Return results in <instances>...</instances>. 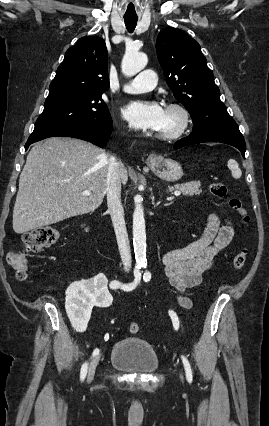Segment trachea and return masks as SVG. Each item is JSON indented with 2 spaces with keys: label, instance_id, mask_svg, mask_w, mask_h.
I'll list each match as a JSON object with an SVG mask.
<instances>
[{
  "label": "trachea",
  "instance_id": "obj_1",
  "mask_svg": "<svg viewBox=\"0 0 269 426\" xmlns=\"http://www.w3.org/2000/svg\"><path fill=\"white\" fill-rule=\"evenodd\" d=\"M124 21H125V26H126L127 30L130 33H132L135 30V27L137 25L138 19L137 18H132V17L131 18L125 17Z\"/></svg>",
  "mask_w": 269,
  "mask_h": 426
}]
</instances>
